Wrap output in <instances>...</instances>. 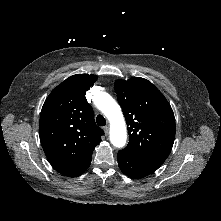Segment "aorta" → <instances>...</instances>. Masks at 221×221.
<instances>
[{
	"label": "aorta",
	"instance_id": "aorta-1",
	"mask_svg": "<svg viewBox=\"0 0 221 221\" xmlns=\"http://www.w3.org/2000/svg\"><path fill=\"white\" fill-rule=\"evenodd\" d=\"M97 107L110 122V141L113 146L121 148L127 139L126 124L120 106L109 95L102 93Z\"/></svg>",
	"mask_w": 221,
	"mask_h": 221
}]
</instances>
